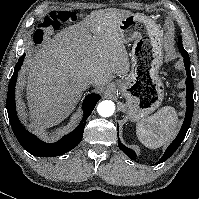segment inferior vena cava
<instances>
[{
	"label": "inferior vena cava",
	"mask_w": 199,
	"mask_h": 199,
	"mask_svg": "<svg viewBox=\"0 0 199 199\" xmlns=\"http://www.w3.org/2000/svg\"><path fill=\"white\" fill-rule=\"evenodd\" d=\"M96 83L95 79H88L85 81V86L88 88L90 85H94Z\"/></svg>",
	"instance_id": "602c4592"
}]
</instances>
